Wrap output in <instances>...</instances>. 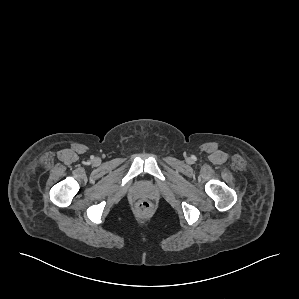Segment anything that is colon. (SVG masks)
<instances>
[{"mask_svg": "<svg viewBox=\"0 0 299 299\" xmlns=\"http://www.w3.org/2000/svg\"><path fill=\"white\" fill-rule=\"evenodd\" d=\"M135 209L139 215H147L152 210V204L148 200H140L136 203Z\"/></svg>", "mask_w": 299, "mask_h": 299, "instance_id": "1", "label": "colon"}]
</instances>
